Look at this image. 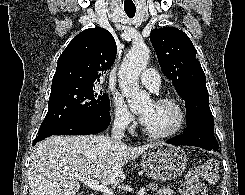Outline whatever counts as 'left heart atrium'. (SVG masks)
<instances>
[{"label": "left heart atrium", "instance_id": "39dd6f15", "mask_svg": "<svg viewBox=\"0 0 245 195\" xmlns=\"http://www.w3.org/2000/svg\"><path fill=\"white\" fill-rule=\"evenodd\" d=\"M148 114L144 113L140 115V121L144 124L147 120Z\"/></svg>", "mask_w": 245, "mask_h": 195}]
</instances>
